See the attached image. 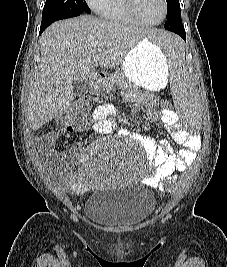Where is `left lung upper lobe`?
Masks as SVG:
<instances>
[{
	"label": "left lung upper lobe",
	"mask_w": 227,
	"mask_h": 267,
	"mask_svg": "<svg viewBox=\"0 0 227 267\" xmlns=\"http://www.w3.org/2000/svg\"><path fill=\"white\" fill-rule=\"evenodd\" d=\"M166 1H167V6H168L167 19L181 12L179 0H166Z\"/></svg>",
	"instance_id": "5c2ea615"
}]
</instances>
